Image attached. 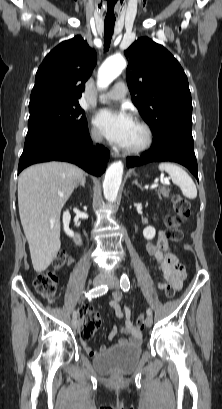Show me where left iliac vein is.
<instances>
[{"mask_svg": "<svg viewBox=\"0 0 222 409\" xmlns=\"http://www.w3.org/2000/svg\"><path fill=\"white\" fill-rule=\"evenodd\" d=\"M107 284H108L111 288L117 289L118 286H119V281H118V279H117L116 277H112V278H109V279L107 280ZM152 323H153L152 317H151V316H148V317L146 318V320H145V325H146L147 327H151V326H152Z\"/></svg>", "mask_w": 222, "mask_h": 409, "instance_id": "4c4485c4", "label": "left iliac vein"}]
</instances>
